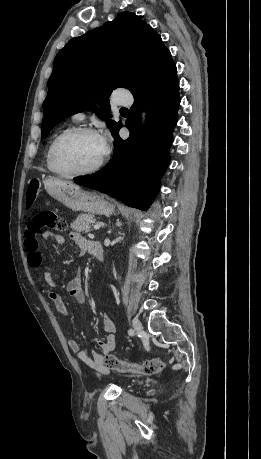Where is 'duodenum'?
Masks as SVG:
<instances>
[{
	"label": "duodenum",
	"instance_id": "410a0bca",
	"mask_svg": "<svg viewBox=\"0 0 261 459\" xmlns=\"http://www.w3.org/2000/svg\"><path fill=\"white\" fill-rule=\"evenodd\" d=\"M91 253L100 261L104 260V248L100 242L94 241L91 245Z\"/></svg>",
	"mask_w": 261,
	"mask_h": 459
}]
</instances>
